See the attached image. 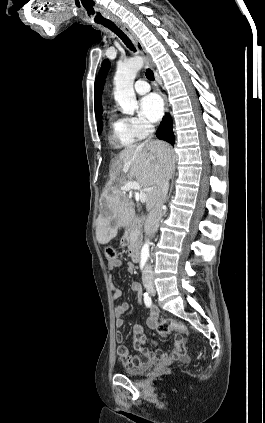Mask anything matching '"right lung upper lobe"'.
<instances>
[{
	"mask_svg": "<svg viewBox=\"0 0 265 423\" xmlns=\"http://www.w3.org/2000/svg\"><path fill=\"white\" fill-rule=\"evenodd\" d=\"M94 98H95V115L99 120L101 118V114L103 110H102V102L98 93L97 81H95Z\"/></svg>",
	"mask_w": 265,
	"mask_h": 423,
	"instance_id": "cb5924a9",
	"label": "right lung upper lobe"
}]
</instances>
